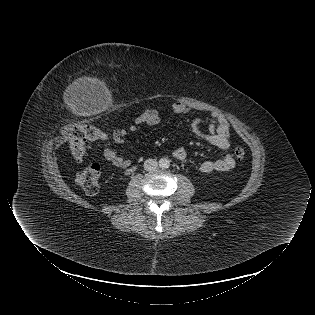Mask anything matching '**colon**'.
<instances>
[{
	"instance_id": "obj_1",
	"label": "colon",
	"mask_w": 315,
	"mask_h": 315,
	"mask_svg": "<svg viewBox=\"0 0 315 315\" xmlns=\"http://www.w3.org/2000/svg\"><path fill=\"white\" fill-rule=\"evenodd\" d=\"M69 138V148L73 158L77 162H82L86 154V144L89 141L104 140L106 134L93 126L78 125L67 131ZM234 155L238 161L245 157V151L242 147H236ZM100 166L97 163H91L78 170L76 181L79 186L89 195H94L99 189Z\"/></svg>"
}]
</instances>
